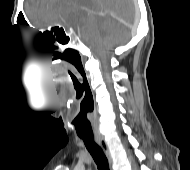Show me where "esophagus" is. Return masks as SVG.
Listing matches in <instances>:
<instances>
[{
	"instance_id": "obj_1",
	"label": "esophagus",
	"mask_w": 190,
	"mask_h": 170,
	"mask_svg": "<svg viewBox=\"0 0 190 170\" xmlns=\"http://www.w3.org/2000/svg\"><path fill=\"white\" fill-rule=\"evenodd\" d=\"M95 141L97 144L102 148L103 152L105 153L110 165L112 164V157L108 148V145L105 139L100 135H95Z\"/></svg>"
}]
</instances>
